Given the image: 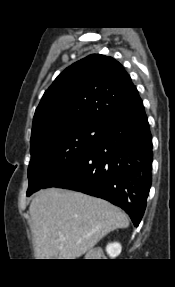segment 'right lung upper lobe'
<instances>
[{"instance_id": "1", "label": "right lung upper lobe", "mask_w": 175, "mask_h": 287, "mask_svg": "<svg viewBox=\"0 0 175 287\" xmlns=\"http://www.w3.org/2000/svg\"><path fill=\"white\" fill-rule=\"evenodd\" d=\"M143 105L124 67L93 54L66 68L45 91L33 118L31 142L67 126L112 121Z\"/></svg>"}]
</instances>
